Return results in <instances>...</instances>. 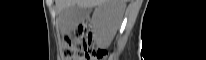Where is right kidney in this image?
Masks as SVG:
<instances>
[{"label": "right kidney", "instance_id": "ca27d5eb", "mask_svg": "<svg viewBox=\"0 0 206 60\" xmlns=\"http://www.w3.org/2000/svg\"><path fill=\"white\" fill-rule=\"evenodd\" d=\"M123 15V3L110 1L100 5L94 12V39L97 44L108 45Z\"/></svg>", "mask_w": 206, "mask_h": 60}]
</instances>
